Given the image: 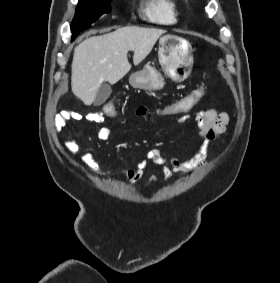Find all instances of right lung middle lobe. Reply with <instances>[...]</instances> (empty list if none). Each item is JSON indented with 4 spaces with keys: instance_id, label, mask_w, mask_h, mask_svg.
<instances>
[{
    "instance_id": "right-lung-middle-lobe-1",
    "label": "right lung middle lobe",
    "mask_w": 280,
    "mask_h": 283,
    "mask_svg": "<svg viewBox=\"0 0 280 283\" xmlns=\"http://www.w3.org/2000/svg\"><path fill=\"white\" fill-rule=\"evenodd\" d=\"M110 0H79L71 24L72 40L77 34L91 26L97 18L110 11Z\"/></svg>"
}]
</instances>
